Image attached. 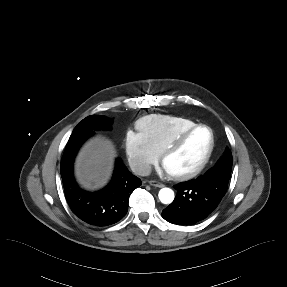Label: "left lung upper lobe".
Returning <instances> with one entry per match:
<instances>
[{
	"label": "left lung upper lobe",
	"instance_id": "5c2ea615",
	"mask_svg": "<svg viewBox=\"0 0 287 287\" xmlns=\"http://www.w3.org/2000/svg\"><path fill=\"white\" fill-rule=\"evenodd\" d=\"M232 169V155L229 148L226 149L223 156L218 160L217 164L208 170L203 177L207 178L212 170H222L223 173L230 179V173Z\"/></svg>",
	"mask_w": 287,
	"mask_h": 287
}]
</instances>
